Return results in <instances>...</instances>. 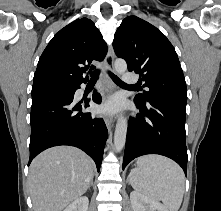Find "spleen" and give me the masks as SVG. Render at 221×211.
<instances>
[{"label":"spleen","instance_id":"spleen-1","mask_svg":"<svg viewBox=\"0 0 221 211\" xmlns=\"http://www.w3.org/2000/svg\"><path fill=\"white\" fill-rule=\"evenodd\" d=\"M128 179L137 192L161 200L168 211H178L180 208L185 176L180 166L172 160L158 155L142 156Z\"/></svg>","mask_w":221,"mask_h":211}]
</instances>
